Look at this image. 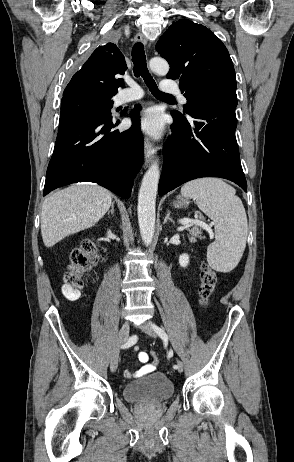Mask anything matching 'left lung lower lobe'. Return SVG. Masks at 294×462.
I'll use <instances>...</instances> for the list:
<instances>
[{
    "instance_id": "1",
    "label": "left lung lower lobe",
    "mask_w": 294,
    "mask_h": 462,
    "mask_svg": "<svg viewBox=\"0 0 294 462\" xmlns=\"http://www.w3.org/2000/svg\"><path fill=\"white\" fill-rule=\"evenodd\" d=\"M236 105L209 102L190 114V122L172 115L175 123L163 151L159 195L200 177L225 178L247 191L235 137Z\"/></svg>"
}]
</instances>
